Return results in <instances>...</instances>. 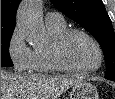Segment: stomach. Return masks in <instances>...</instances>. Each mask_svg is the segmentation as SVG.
Listing matches in <instances>:
<instances>
[{"label":"stomach","mask_w":115,"mask_h":99,"mask_svg":"<svg viewBox=\"0 0 115 99\" xmlns=\"http://www.w3.org/2000/svg\"><path fill=\"white\" fill-rule=\"evenodd\" d=\"M70 99H99V92L94 84L82 81L72 87Z\"/></svg>","instance_id":"1"}]
</instances>
